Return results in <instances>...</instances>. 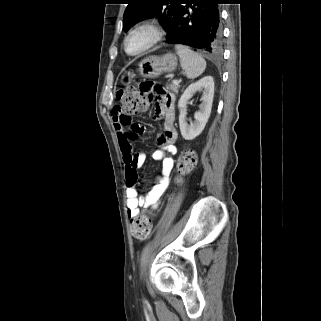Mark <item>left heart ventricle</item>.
Returning a JSON list of instances; mask_svg holds the SVG:
<instances>
[{"label": "left heart ventricle", "mask_w": 321, "mask_h": 321, "mask_svg": "<svg viewBox=\"0 0 321 321\" xmlns=\"http://www.w3.org/2000/svg\"><path fill=\"white\" fill-rule=\"evenodd\" d=\"M150 40V34L147 31H138L128 40L127 47L130 52H137L142 49Z\"/></svg>", "instance_id": "b2bd125f"}]
</instances>
